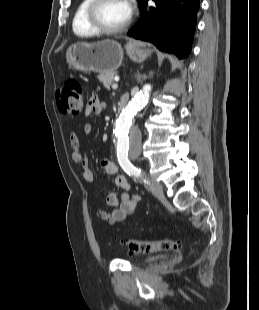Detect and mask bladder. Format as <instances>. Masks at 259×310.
<instances>
[{
	"mask_svg": "<svg viewBox=\"0 0 259 310\" xmlns=\"http://www.w3.org/2000/svg\"><path fill=\"white\" fill-rule=\"evenodd\" d=\"M164 257H165V255H155V256H151V257L146 258L143 262L151 263V262L161 260Z\"/></svg>",
	"mask_w": 259,
	"mask_h": 310,
	"instance_id": "31cf9c89",
	"label": "bladder"
}]
</instances>
